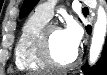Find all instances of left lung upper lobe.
I'll use <instances>...</instances> for the list:
<instances>
[{"label":"left lung upper lobe","instance_id":"5c2ea615","mask_svg":"<svg viewBox=\"0 0 107 75\" xmlns=\"http://www.w3.org/2000/svg\"><path fill=\"white\" fill-rule=\"evenodd\" d=\"M38 0H25L20 11V18L28 14L34 7Z\"/></svg>","mask_w":107,"mask_h":75}]
</instances>
